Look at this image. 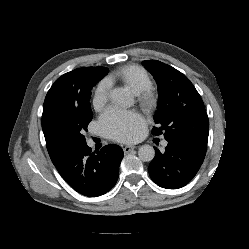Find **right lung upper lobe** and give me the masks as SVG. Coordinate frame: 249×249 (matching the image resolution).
<instances>
[{
	"label": "right lung upper lobe",
	"instance_id": "cb5924a9",
	"mask_svg": "<svg viewBox=\"0 0 249 249\" xmlns=\"http://www.w3.org/2000/svg\"><path fill=\"white\" fill-rule=\"evenodd\" d=\"M91 68H78L62 75L46 95L43 105L42 128L50 157L61 148L56 144L50 132L52 118L69 103H77Z\"/></svg>",
	"mask_w": 249,
	"mask_h": 249
}]
</instances>
